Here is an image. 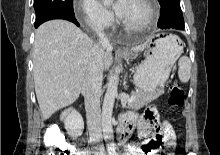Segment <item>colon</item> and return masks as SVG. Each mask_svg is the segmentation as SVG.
<instances>
[{
    "label": "colon",
    "mask_w": 220,
    "mask_h": 155,
    "mask_svg": "<svg viewBox=\"0 0 220 155\" xmlns=\"http://www.w3.org/2000/svg\"><path fill=\"white\" fill-rule=\"evenodd\" d=\"M168 106L171 109H177L184 104V90L178 81H174L169 89ZM48 139L50 143H44L45 151H49L46 155H70L67 148L70 147L69 143H64L56 129L48 132ZM174 142L169 140L165 141L161 137H155L150 144L149 149L156 151L158 155H174L172 150Z\"/></svg>",
    "instance_id": "colon-1"
}]
</instances>
